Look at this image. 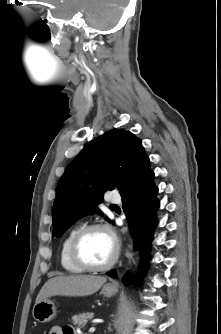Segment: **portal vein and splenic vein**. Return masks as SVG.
Wrapping results in <instances>:
<instances>
[{"instance_id": "1", "label": "portal vein and splenic vein", "mask_w": 221, "mask_h": 334, "mask_svg": "<svg viewBox=\"0 0 221 334\" xmlns=\"http://www.w3.org/2000/svg\"><path fill=\"white\" fill-rule=\"evenodd\" d=\"M95 330H96L95 327H91V328L89 329V332H90V333H93V332H95Z\"/></svg>"}]
</instances>
